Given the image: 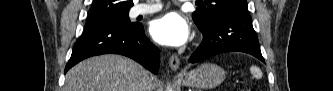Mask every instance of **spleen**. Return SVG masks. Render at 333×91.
Wrapping results in <instances>:
<instances>
[{"mask_svg": "<svg viewBox=\"0 0 333 91\" xmlns=\"http://www.w3.org/2000/svg\"><path fill=\"white\" fill-rule=\"evenodd\" d=\"M250 72H251V74H252L256 79H260V78H262V72H261V70H260L258 67H256V66H251V68H250Z\"/></svg>", "mask_w": 333, "mask_h": 91, "instance_id": "spleen-1", "label": "spleen"}]
</instances>
